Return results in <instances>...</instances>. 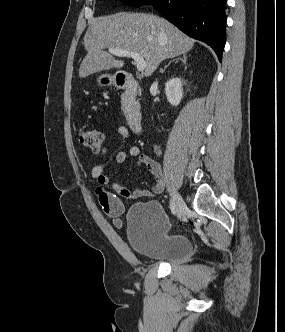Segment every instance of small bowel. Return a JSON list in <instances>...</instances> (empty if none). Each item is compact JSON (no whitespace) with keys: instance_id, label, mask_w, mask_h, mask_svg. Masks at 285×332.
<instances>
[{"instance_id":"small-bowel-1","label":"small bowel","mask_w":285,"mask_h":332,"mask_svg":"<svg viewBox=\"0 0 285 332\" xmlns=\"http://www.w3.org/2000/svg\"><path fill=\"white\" fill-rule=\"evenodd\" d=\"M119 136L125 140L129 137V129L124 125L117 127ZM108 152L107 147H103L99 151L101 158H104ZM128 156H137V164L145 166L148 171L154 176L156 183L150 189H130L119 183H111L110 176L106 172V163L99 162L91 170V176L98 184L96 194L100 205L104 212L112 218L113 224L117 228L123 225L121 215L124 212V203L121 199L134 200L139 198H149L160 194L164 189V178L160 164L146 154H140L139 147L136 145L129 146L126 150H121L116 154V162L122 164L126 161ZM111 184L113 192L105 189V186Z\"/></svg>"}]
</instances>
